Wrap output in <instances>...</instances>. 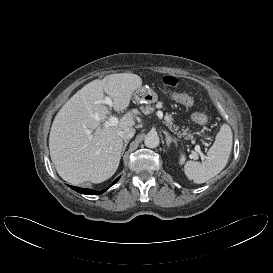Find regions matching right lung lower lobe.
I'll use <instances>...</instances> for the list:
<instances>
[{"mask_svg": "<svg viewBox=\"0 0 273 273\" xmlns=\"http://www.w3.org/2000/svg\"><path fill=\"white\" fill-rule=\"evenodd\" d=\"M119 178H117L114 183L118 181ZM73 190L81 193V194H86V195H100L104 191H94L92 189H84L80 187H75V186H70Z\"/></svg>", "mask_w": 273, "mask_h": 273, "instance_id": "right-lung-lower-lobe-1", "label": "right lung lower lobe"}]
</instances>
